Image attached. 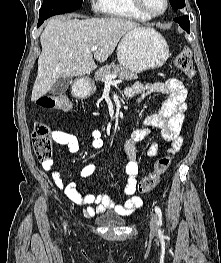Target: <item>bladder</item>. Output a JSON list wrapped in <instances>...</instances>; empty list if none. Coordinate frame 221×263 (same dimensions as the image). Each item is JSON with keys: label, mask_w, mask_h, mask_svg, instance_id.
I'll list each match as a JSON object with an SVG mask.
<instances>
[{"label": "bladder", "mask_w": 221, "mask_h": 263, "mask_svg": "<svg viewBox=\"0 0 221 263\" xmlns=\"http://www.w3.org/2000/svg\"><path fill=\"white\" fill-rule=\"evenodd\" d=\"M102 225H122L125 220L114 215L101 216L96 218Z\"/></svg>", "instance_id": "bladder-1"}]
</instances>
